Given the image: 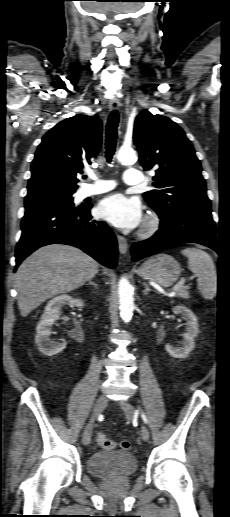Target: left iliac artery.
Returning a JSON list of instances; mask_svg holds the SVG:
<instances>
[{"mask_svg":"<svg viewBox=\"0 0 230 517\" xmlns=\"http://www.w3.org/2000/svg\"><path fill=\"white\" fill-rule=\"evenodd\" d=\"M142 418H143V420H144L145 422H147V418H146V416H145V414H144L143 412H142Z\"/></svg>","mask_w":230,"mask_h":517,"instance_id":"44dca946","label":"left iliac artery"}]
</instances>
